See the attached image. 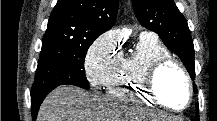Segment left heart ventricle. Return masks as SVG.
Instances as JSON below:
<instances>
[{
  "label": "left heart ventricle",
  "instance_id": "b2bd125f",
  "mask_svg": "<svg viewBox=\"0 0 217 121\" xmlns=\"http://www.w3.org/2000/svg\"><path fill=\"white\" fill-rule=\"evenodd\" d=\"M157 90L160 96L171 106L181 108L188 98L187 85L180 71L169 66L157 77Z\"/></svg>",
  "mask_w": 217,
  "mask_h": 121
}]
</instances>
